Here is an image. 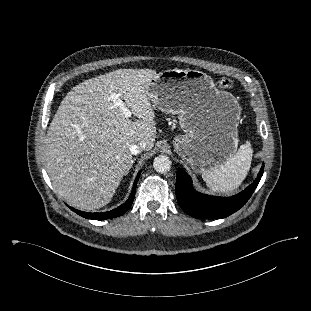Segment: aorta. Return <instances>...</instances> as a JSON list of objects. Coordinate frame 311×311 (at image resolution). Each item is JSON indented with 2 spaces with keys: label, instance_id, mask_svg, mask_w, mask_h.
<instances>
[{
  "label": "aorta",
  "instance_id": "762f6f07",
  "mask_svg": "<svg viewBox=\"0 0 311 311\" xmlns=\"http://www.w3.org/2000/svg\"><path fill=\"white\" fill-rule=\"evenodd\" d=\"M153 167L159 173H165L171 168V161L168 156L159 155L154 159Z\"/></svg>",
  "mask_w": 311,
  "mask_h": 311
}]
</instances>
